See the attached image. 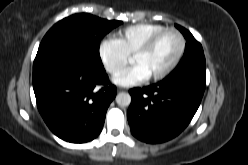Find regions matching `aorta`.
<instances>
[{
	"instance_id": "obj_1",
	"label": "aorta",
	"mask_w": 248,
	"mask_h": 165,
	"mask_svg": "<svg viewBox=\"0 0 248 165\" xmlns=\"http://www.w3.org/2000/svg\"><path fill=\"white\" fill-rule=\"evenodd\" d=\"M116 102L119 106L126 107L131 103V96L129 93L121 92L116 96Z\"/></svg>"
}]
</instances>
